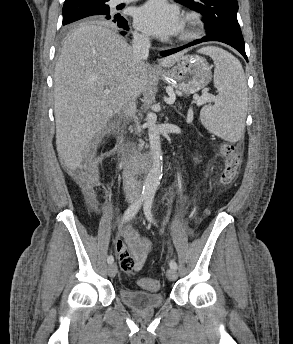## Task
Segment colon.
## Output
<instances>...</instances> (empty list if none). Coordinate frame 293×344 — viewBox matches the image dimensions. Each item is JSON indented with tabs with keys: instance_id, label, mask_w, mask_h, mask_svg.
I'll list each match as a JSON object with an SVG mask.
<instances>
[{
	"instance_id": "colon-1",
	"label": "colon",
	"mask_w": 293,
	"mask_h": 344,
	"mask_svg": "<svg viewBox=\"0 0 293 344\" xmlns=\"http://www.w3.org/2000/svg\"><path fill=\"white\" fill-rule=\"evenodd\" d=\"M220 152L224 158V168L221 172L220 182L224 187L230 186L236 179L241 165V152L233 143H223L220 146ZM140 286L150 291L159 288V283L153 279H142Z\"/></svg>"
}]
</instances>
